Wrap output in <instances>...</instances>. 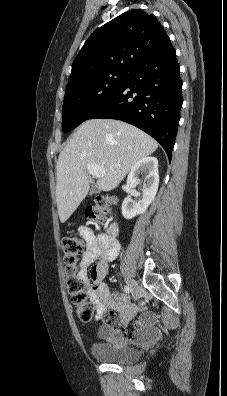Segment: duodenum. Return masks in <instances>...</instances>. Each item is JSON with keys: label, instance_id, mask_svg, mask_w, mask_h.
Masks as SVG:
<instances>
[{"label": "duodenum", "instance_id": "duodenum-1", "mask_svg": "<svg viewBox=\"0 0 227 396\" xmlns=\"http://www.w3.org/2000/svg\"><path fill=\"white\" fill-rule=\"evenodd\" d=\"M118 234V226L115 222H112L107 230V234L104 235L109 239H116V236Z\"/></svg>", "mask_w": 227, "mask_h": 396}]
</instances>
